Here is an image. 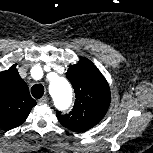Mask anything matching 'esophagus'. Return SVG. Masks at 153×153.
<instances>
[{"mask_svg":"<svg viewBox=\"0 0 153 153\" xmlns=\"http://www.w3.org/2000/svg\"><path fill=\"white\" fill-rule=\"evenodd\" d=\"M47 102H48V97L47 96H44V97H42L41 99L38 100L39 104H44V103H47Z\"/></svg>","mask_w":153,"mask_h":153,"instance_id":"esophagus-1","label":"esophagus"}]
</instances>
